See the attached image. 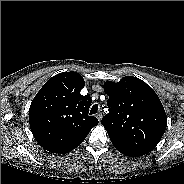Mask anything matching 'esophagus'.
<instances>
[{
  "label": "esophagus",
  "instance_id": "1",
  "mask_svg": "<svg viewBox=\"0 0 184 184\" xmlns=\"http://www.w3.org/2000/svg\"><path fill=\"white\" fill-rule=\"evenodd\" d=\"M96 117L99 121L102 119V112L100 111L99 113L96 114Z\"/></svg>",
  "mask_w": 184,
  "mask_h": 184
}]
</instances>
